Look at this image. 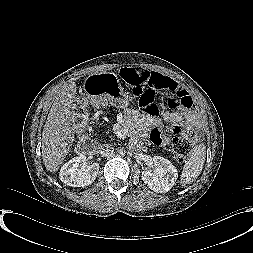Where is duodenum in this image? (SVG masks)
<instances>
[{
  "mask_svg": "<svg viewBox=\"0 0 253 253\" xmlns=\"http://www.w3.org/2000/svg\"><path fill=\"white\" fill-rule=\"evenodd\" d=\"M78 151L81 154L92 155L98 153L99 149L89 139H83L78 144Z\"/></svg>",
  "mask_w": 253,
  "mask_h": 253,
  "instance_id": "410a0bca",
  "label": "duodenum"
}]
</instances>
